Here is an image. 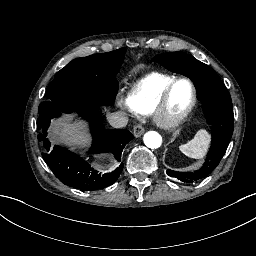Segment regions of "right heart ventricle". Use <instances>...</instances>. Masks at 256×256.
Instances as JSON below:
<instances>
[{
  "label": "right heart ventricle",
  "mask_w": 256,
  "mask_h": 256,
  "mask_svg": "<svg viewBox=\"0 0 256 256\" xmlns=\"http://www.w3.org/2000/svg\"><path fill=\"white\" fill-rule=\"evenodd\" d=\"M176 79L172 74L152 73L135 87L132 97L154 102Z\"/></svg>",
  "instance_id": "1"
}]
</instances>
